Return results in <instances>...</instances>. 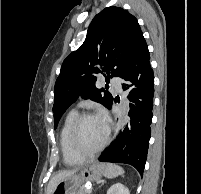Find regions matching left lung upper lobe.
Wrapping results in <instances>:
<instances>
[{
	"instance_id": "left-lung-upper-lobe-1",
	"label": "left lung upper lobe",
	"mask_w": 201,
	"mask_h": 194,
	"mask_svg": "<svg viewBox=\"0 0 201 194\" xmlns=\"http://www.w3.org/2000/svg\"><path fill=\"white\" fill-rule=\"evenodd\" d=\"M144 40L137 19L128 11L111 6L97 14L81 47L64 60L55 83V128L66 109L78 97L92 99L111 108L112 95L95 86L96 74L122 77Z\"/></svg>"
}]
</instances>
